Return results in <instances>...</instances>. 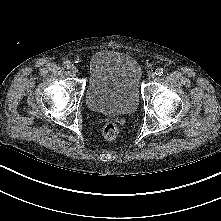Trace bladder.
Here are the masks:
<instances>
[{
  "label": "bladder",
  "instance_id": "1",
  "mask_svg": "<svg viewBox=\"0 0 221 221\" xmlns=\"http://www.w3.org/2000/svg\"><path fill=\"white\" fill-rule=\"evenodd\" d=\"M141 77V66L132 55L112 49L95 52L88 63V108L105 115L134 112L139 104Z\"/></svg>",
  "mask_w": 221,
  "mask_h": 221
}]
</instances>
